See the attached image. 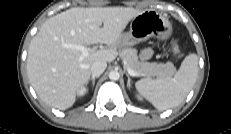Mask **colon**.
<instances>
[{
	"label": "colon",
	"mask_w": 231,
	"mask_h": 134,
	"mask_svg": "<svg viewBox=\"0 0 231 134\" xmlns=\"http://www.w3.org/2000/svg\"><path fill=\"white\" fill-rule=\"evenodd\" d=\"M172 47H173L174 53L177 54L178 53V46L176 44H173Z\"/></svg>",
	"instance_id": "obj_1"
}]
</instances>
